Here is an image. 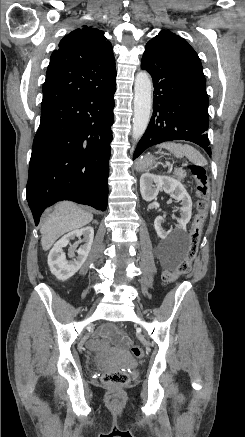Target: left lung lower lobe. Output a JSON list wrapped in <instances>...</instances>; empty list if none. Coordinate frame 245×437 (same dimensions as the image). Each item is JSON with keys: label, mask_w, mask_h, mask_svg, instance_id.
I'll use <instances>...</instances> for the list:
<instances>
[{"label": "left lung lower lobe", "mask_w": 245, "mask_h": 437, "mask_svg": "<svg viewBox=\"0 0 245 437\" xmlns=\"http://www.w3.org/2000/svg\"><path fill=\"white\" fill-rule=\"evenodd\" d=\"M141 68L153 79V116L135 149L133 160L147 148L171 140L198 144L211 156L206 80L200 72L146 49Z\"/></svg>", "instance_id": "left-lung-lower-lobe-1"}]
</instances>
